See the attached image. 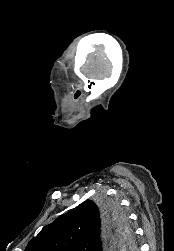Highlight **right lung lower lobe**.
<instances>
[{"instance_id":"1","label":"right lung lower lobe","mask_w":174,"mask_h":251,"mask_svg":"<svg viewBox=\"0 0 174 251\" xmlns=\"http://www.w3.org/2000/svg\"><path fill=\"white\" fill-rule=\"evenodd\" d=\"M115 228L109 223L106 218L103 220V234L101 238L102 247H110L112 244V236L114 234ZM112 250V249H110ZM106 251V250H102ZM114 251V250H113Z\"/></svg>"}]
</instances>
